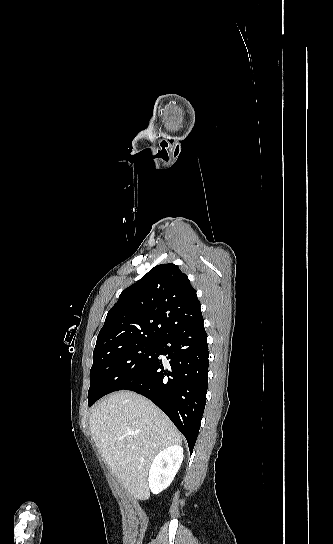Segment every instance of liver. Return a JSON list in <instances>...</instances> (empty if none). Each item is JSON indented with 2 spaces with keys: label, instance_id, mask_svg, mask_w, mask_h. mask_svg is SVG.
Wrapping results in <instances>:
<instances>
[{
  "label": "liver",
  "instance_id": "6515ba94",
  "mask_svg": "<svg viewBox=\"0 0 333 544\" xmlns=\"http://www.w3.org/2000/svg\"><path fill=\"white\" fill-rule=\"evenodd\" d=\"M90 431L116 479L140 500L149 497L147 476L155 455L182 443L181 434L159 408L129 391L111 394L98 404Z\"/></svg>",
  "mask_w": 333,
  "mask_h": 544
}]
</instances>
